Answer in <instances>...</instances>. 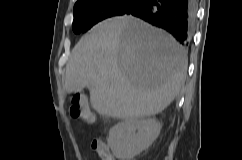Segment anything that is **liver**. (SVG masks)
<instances>
[{
  "mask_svg": "<svg viewBox=\"0 0 242 160\" xmlns=\"http://www.w3.org/2000/svg\"><path fill=\"white\" fill-rule=\"evenodd\" d=\"M186 69V51L171 35L124 15L98 23L80 39L66 65L65 90L88 87L100 115L144 119L170 105Z\"/></svg>",
  "mask_w": 242,
  "mask_h": 160,
  "instance_id": "liver-1",
  "label": "liver"
}]
</instances>
